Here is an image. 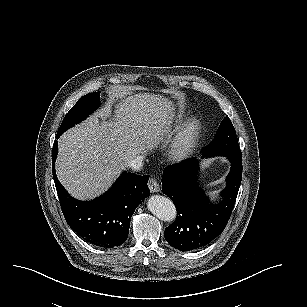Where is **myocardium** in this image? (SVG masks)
<instances>
[{
	"instance_id": "f54148a6",
	"label": "myocardium",
	"mask_w": 307,
	"mask_h": 307,
	"mask_svg": "<svg viewBox=\"0 0 307 307\" xmlns=\"http://www.w3.org/2000/svg\"><path fill=\"white\" fill-rule=\"evenodd\" d=\"M201 122L197 116L191 115L182 121L164 146L163 152L167 158L179 162L185 158L186 153L191 152L196 145L195 139L200 136Z\"/></svg>"
}]
</instances>
